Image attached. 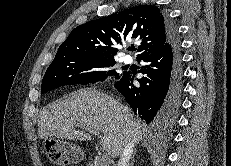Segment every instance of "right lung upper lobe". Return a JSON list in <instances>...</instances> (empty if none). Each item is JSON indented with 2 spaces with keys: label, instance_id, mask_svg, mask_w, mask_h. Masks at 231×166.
<instances>
[{
  "label": "right lung upper lobe",
  "instance_id": "right-lung-upper-lobe-1",
  "mask_svg": "<svg viewBox=\"0 0 231 166\" xmlns=\"http://www.w3.org/2000/svg\"><path fill=\"white\" fill-rule=\"evenodd\" d=\"M168 19L158 7L140 5L79 25L60 45L54 58L81 55L114 57L126 38L139 41L137 59L161 49L169 40Z\"/></svg>",
  "mask_w": 231,
  "mask_h": 166
}]
</instances>
